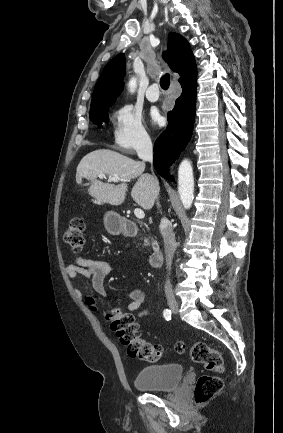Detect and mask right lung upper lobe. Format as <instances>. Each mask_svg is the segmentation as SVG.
Wrapping results in <instances>:
<instances>
[{
	"instance_id": "right-lung-upper-lobe-1",
	"label": "right lung upper lobe",
	"mask_w": 283,
	"mask_h": 433,
	"mask_svg": "<svg viewBox=\"0 0 283 433\" xmlns=\"http://www.w3.org/2000/svg\"><path fill=\"white\" fill-rule=\"evenodd\" d=\"M163 58L174 72L180 74V83L197 76L190 45L180 34H169L168 50L164 52ZM124 72L125 56L119 54L102 71L94 89L90 112L114 104L123 89Z\"/></svg>"
}]
</instances>
